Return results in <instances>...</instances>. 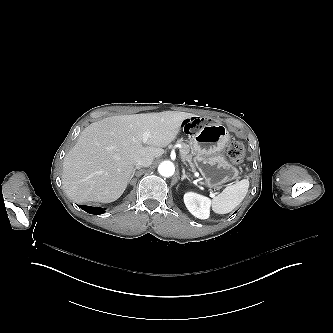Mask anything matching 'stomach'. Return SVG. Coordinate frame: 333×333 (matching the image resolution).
<instances>
[{
    "label": "stomach",
    "instance_id": "1",
    "mask_svg": "<svg viewBox=\"0 0 333 333\" xmlns=\"http://www.w3.org/2000/svg\"><path fill=\"white\" fill-rule=\"evenodd\" d=\"M229 138L223 126L203 119L201 129L192 134L191 147L201 183L207 189L220 188L239 178L240 170L225 155Z\"/></svg>",
    "mask_w": 333,
    "mask_h": 333
}]
</instances>
